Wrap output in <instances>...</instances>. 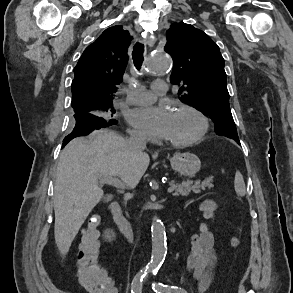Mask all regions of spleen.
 <instances>
[{
    "label": "spleen",
    "instance_id": "obj_1",
    "mask_svg": "<svg viewBox=\"0 0 293 293\" xmlns=\"http://www.w3.org/2000/svg\"><path fill=\"white\" fill-rule=\"evenodd\" d=\"M234 188L238 196L242 197L246 193L245 183L242 174L239 171L235 173Z\"/></svg>",
    "mask_w": 293,
    "mask_h": 293
}]
</instances>
